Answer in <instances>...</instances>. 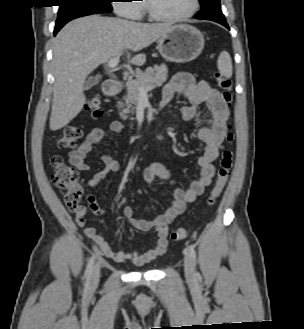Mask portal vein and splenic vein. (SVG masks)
Returning a JSON list of instances; mask_svg holds the SVG:
<instances>
[{"label": "portal vein and splenic vein", "mask_w": 304, "mask_h": 329, "mask_svg": "<svg viewBox=\"0 0 304 329\" xmlns=\"http://www.w3.org/2000/svg\"><path fill=\"white\" fill-rule=\"evenodd\" d=\"M119 64V57L116 56L114 58H112L109 62H108V66L112 69V70H116V67L118 66ZM153 88L152 87H147V88H143V87H140L139 88V91H140V96H146L147 95V92L152 90Z\"/></svg>", "instance_id": "18ae733b"}]
</instances>
